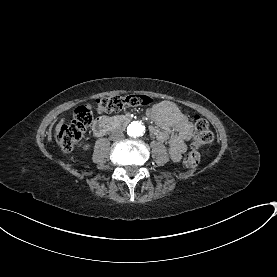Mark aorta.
I'll use <instances>...</instances> for the list:
<instances>
[{
    "mask_svg": "<svg viewBox=\"0 0 277 277\" xmlns=\"http://www.w3.org/2000/svg\"><path fill=\"white\" fill-rule=\"evenodd\" d=\"M145 132V127L141 122L135 121L127 127V133L130 137L136 138L142 136Z\"/></svg>",
    "mask_w": 277,
    "mask_h": 277,
    "instance_id": "obj_1",
    "label": "aorta"
}]
</instances>
